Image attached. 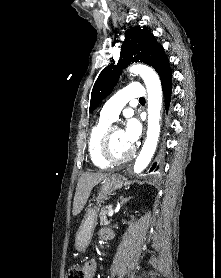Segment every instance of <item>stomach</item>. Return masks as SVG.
Returning a JSON list of instances; mask_svg holds the SVG:
<instances>
[{
    "label": "stomach",
    "mask_w": 221,
    "mask_h": 278,
    "mask_svg": "<svg viewBox=\"0 0 221 278\" xmlns=\"http://www.w3.org/2000/svg\"><path fill=\"white\" fill-rule=\"evenodd\" d=\"M123 186V180L121 176L113 174L105 178L101 184V189L98 195L97 203L100 205L103 199L107 197L115 190L121 189ZM98 207H88L82 223L76 233L75 237V249L83 252L89 246L94 228L97 224Z\"/></svg>",
    "instance_id": "1"
}]
</instances>
